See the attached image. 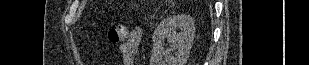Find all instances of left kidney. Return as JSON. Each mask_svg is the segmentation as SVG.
I'll return each instance as SVG.
<instances>
[{
	"label": "left kidney",
	"mask_w": 309,
	"mask_h": 65,
	"mask_svg": "<svg viewBox=\"0 0 309 65\" xmlns=\"http://www.w3.org/2000/svg\"><path fill=\"white\" fill-rule=\"evenodd\" d=\"M177 29L181 31L177 33ZM194 36L195 23L189 15H173L163 19L152 36L153 48L150 65H185L193 45ZM165 39L170 42L171 47L177 46L178 51L175 57L164 51L162 45ZM163 57H165V61H163Z\"/></svg>",
	"instance_id": "left-kidney-1"
}]
</instances>
